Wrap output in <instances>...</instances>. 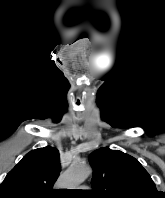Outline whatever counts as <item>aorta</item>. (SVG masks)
<instances>
[{
    "instance_id": "1",
    "label": "aorta",
    "mask_w": 165,
    "mask_h": 198,
    "mask_svg": "<svg viewBox=\"0 0 165 198\" xmlns=\"http://www.w3.org/2000/svg\"><path fill=\"white\" fill-rule=\"evenodd\" d=\"M91 172L92 170L87 165L81 162H73L60 177L58 185L61 188L76 189L88 178Z\"/></svg>"
}]
</instances>
